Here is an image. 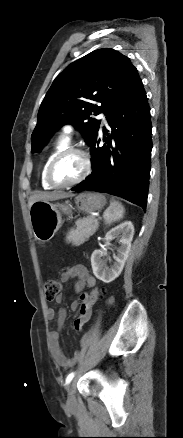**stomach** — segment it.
Returning <instances> with one entry per match:
<instances>
[{
    "label": "stomach",
    "instance_id": "0dacf381",
    "mask_svg": "<svg viewBox=\"0 0 183 438\" xmlns=\"http://www.w3.org/2000/svg\"><path fill=\"white\" fill-rule=\"evenodd\" d=\"M77 208L83 212L101 209L105 198L97 193H81L75 198ZM62 213L69 215L70 207L65 204H53L49 201H36L29 207L30 224L34 237L46 243L50 241L62 226Z\"/></svg>",
    "mask_w": 183,
    "mask_h": 438
}]
</instances>
